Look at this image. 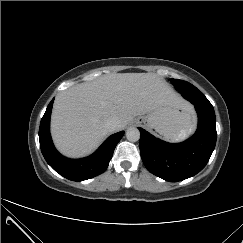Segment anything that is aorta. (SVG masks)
<instances>
[{"mask_svg":"<svg viewBox=\"0 0 243 243\" xmlns=\"http://www.w3.org/2000/svg\"><path fill=\"white\" fill-rule=\"evenodd\" d=\"M126 138L130 142H136L140 139V131L135 127H130L126 131Z\"/></svg>","mask_w":243,"mask_h":243,"instance_id":"aorta-1","label":"aorta"}]
</instances>
